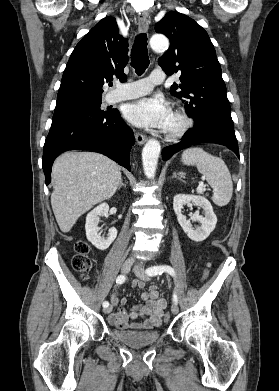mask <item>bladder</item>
Segmentation results:
<instances>
[{"label":"bladder","mask_w":279,"mask_h":391,"mask_svg":"<svg viewBox=\"0 0 279 391\" xmlns=\"http://www.w3.org/2000/svg\"><path fill=\"white\" fill-rule=\"evenodd\" d=\"M111 333L118 341L133 348L153 344L160 336L158 331H126L113 329Z\"/></svg>","instance_id":"31cf9c89"}]
</instances>
